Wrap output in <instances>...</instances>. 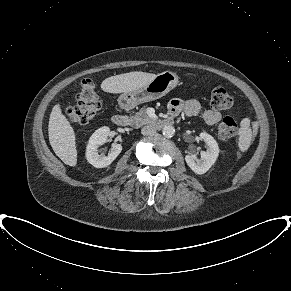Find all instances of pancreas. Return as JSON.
<instances>
[{
	"label": "pancreas",
	"mask_w": 291,
	"mask_h": 291,
	"mask_svg": "<svg viewBox=\"0 0 291 291\" xmlns=\"http://www.w3.org/2000/svg\"><path fill=\"white\" fill-rule=\"evenodd\" d=\"M130 125L134 128H139L145 124H149L153 122V119H151L145 111V108L140 109L137 113H135L134 116H131L129 118Z\"/></svg>",
	"instance_id": "pancreas-1"
}]
</instances>
